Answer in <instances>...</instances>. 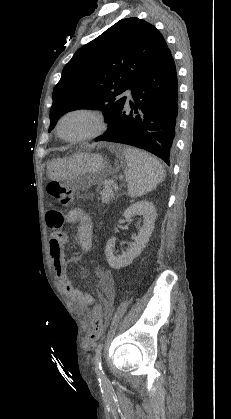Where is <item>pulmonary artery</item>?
Wrapping results in <instances>:
<instances>
[{
  "mask_svg": "<svg viewBox=\"0 0 231 419\" xmlns=\"http://www.w3.org/2000/svg\"><path fill=\"white\" fill-rule=\"evenodd\" d=\"M124 95L126 96L127 100H132V92H131V90H130V89H127V90L124 92Z\"/></svg>",
  "mask_w": 231,
  "mask_h": 419,
  "instance_id": "1",
  "label": "pulmonary artery"
}]
</instances>
